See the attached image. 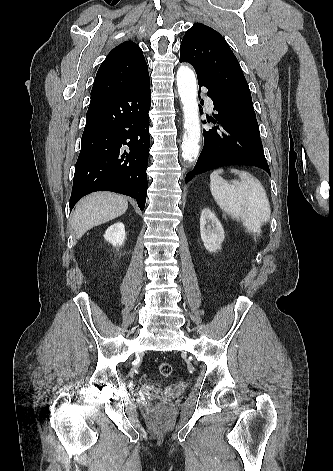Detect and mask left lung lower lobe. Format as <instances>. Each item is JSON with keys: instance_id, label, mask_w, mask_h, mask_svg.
Returning <instances> with one entry per match:
<instances>
[{"instance_id": "left-lung-lower-lobe-1", "label": "left lung lower lobe", "mask_w": 333, "mask_h": 471, "mask_svg": "<svg viewBox=\"0 0 333 471\" xmlns=\"http://www.w3.org/2000/svg\"><path fill=\"white\" fill-rule=\"evenodd\" d=\"M198 83L199 87L208 88L207 95L212 99L216 111L211 121L217 125L203 131V150L194 169L187 173L186 180L227 165L256 166L270 175L259 130L231 113L222 103L215 88L201 79H198Z\"/></svg>"}]
</instances>
